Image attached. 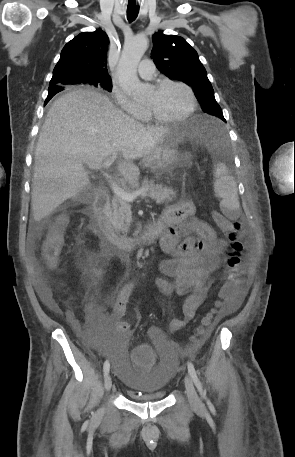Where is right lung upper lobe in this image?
Returning <instances> with one entry per match:
<instances>
[{
    "instance_id": "right-lung-upper-lobe-1",
    "label": "right lung upper lobe",
    "mask_w": 295,
    "mask_h": 457,
    "mask_svg": "<svg viewBox=\"0 0 295 457\" xmlns=\"http://www.w3.org/2000/svg\"><path fill=\"white\" fill-rule=\"evenodd\" d=\"M109 39L102 30L83 32L69 41L53 70L49 87L108 81L107 50Z\"/></svg>"
}]
</instances>
